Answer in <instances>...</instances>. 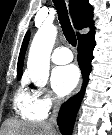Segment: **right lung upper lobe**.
<instances>
[{"instance_id": "right-lung-upper-lobe-1", "label": "right lung upper lobe", "mask_w": 112, "mask_h": 135, "mask_svg": "<svg viewBox=\"0 0 112 135\" xmlns=\"http://www.w3.org/2000/svg\"><path fill=\"white\" fill-rule=\"evenodd\" d=\"M70 10L72 13V19L74 27L78 30L83 28H90V31L86 34H77L78 41L88 36L95 34L94 30V18H93V7L89 4L88 0H70ZM30 32L28 31L24 37L21 51L18 59L17 77L22 76L23 61L25 51L29 42Z\"/></svg>"}]
</instances>
